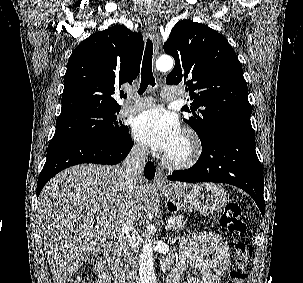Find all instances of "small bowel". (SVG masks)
Listing matches in <instances>:
<instances>
[{
	"mask_svg": "<svg viewBox=\"0 0 303 283\" xmlns=\"http://www.w3.org/2000/svg\"><path fill=\"white\" fill-rule=\"evenodd\" d=\"M167 259H171L170 254ZM189 266L199 271L200 278H190L186 283H222L223 272L229 267V246L225 239L210 232H194L183 236L179 258L169 278L179 283L182 273ZM96 272V283H112L106 267L98 263Z\"/></svg>",
	"mask_w": 303,
	"mask_h": 283,
	"instance_id": "1",
	"label": "small bowel"
}]
</instances>
